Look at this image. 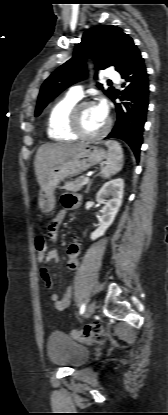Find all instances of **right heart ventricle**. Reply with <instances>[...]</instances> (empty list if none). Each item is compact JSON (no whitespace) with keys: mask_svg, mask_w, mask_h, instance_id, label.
Listing matches in <instances>:
<instances>
[{"mask_svg":"<svg viewBox=\"0 0 168 415\" xmlns=\"http://www.w3.org/2000/svg\"><path fill=\"white\" fill-rule=\"evenodd\" d=\"M77 102V99L67 95L52 107L47 123V133L52 140L62 142L78 138L69 126L70 112Z\"/></svg>","mask_w":168,"mask_h":415,"instance_id":"e07e8e85","label":"right heart ventricle"}]
</instances>
